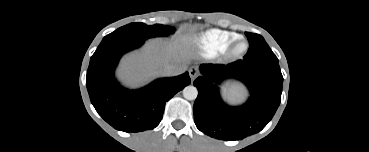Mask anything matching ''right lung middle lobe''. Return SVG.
Instances as JSON below:
<instances>
[{
	"mask_svg": "<svg viewBox=\"0 0 369 152\" xmlns=\"http://www.w3.org/2000/svg\"><path fill=\"white\" fill-rule=\"evenodd\" d=\"M174 28L166 25H146L144 23H131L125 25L105 37L116 35H129L136 38L148 39L151 37L167 36L173 32ZM104 37V38H105Z\"/></svg>",
	"mask_w": 369,
	"mask_h": 152,
	"instance_id": "right-lung-middle-lobe-1",
	"label": "right lung middle lobe"
}]
</instances>
